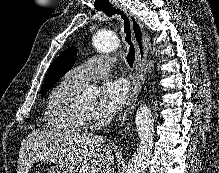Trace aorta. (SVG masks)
<instances>
[{
    "instance_id": "obj_1",
    "label": "aorta",
    "mask_w": 219,
    "mask_h": 173,
    "mask_svg": "<svg viewBox=\"0 0 219 173\" xmlns=\"http://www.w3.org/2000/svg\"><path fill=\"white\" fill-rule=\"evenodd\" d=\"M93 46L98 52L109 53L120 46L118 36L109 30H99L93 36ZM140 144L128 163L126 173H145L153 151L154 120L147 106H141L135 116Z\"/></svg>"
}]
</instances>
